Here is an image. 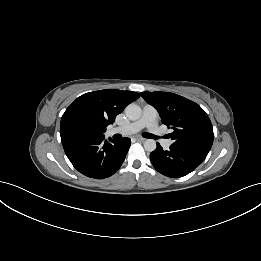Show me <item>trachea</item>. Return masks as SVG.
<instances>
[{"mask_svg":"<svg viewBox=\"0 0 261 261\" xmlns=\"http://www.w3.org/2000/svg\"><path fill=\"white\" fill-rule=\"evenodd\" d=\"M143 136H144L145 138L156 139V136H154L153 134H150V133H144Z\"/></svg>","mask_w":261,"mask_h":261,"instance_id":"3493384b","label":"trachea"}]
</instances>
